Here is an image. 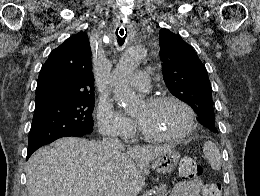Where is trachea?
I'll list each match as a JSON object with an SVG mask.
<instances>
[{
  "instance_id": "trachea-1",
  "label": "trachea",
  "mask_w": 260,
  "mask_h": 196,
  "mask_svg": "<svg viewBox=\"0 0 260 196\" xmlns=\"http://www.w3.org/2000/svg\"><path fill=\"white\" fill-rule=\"evenodd\" d=\"M117 33V32H116ZM124 33H120V35H123ZM125 37H126V35H125ZM124 37V38H125ZM123 43H124V39L123 40H118V44L120 45V46H122L123 45Z\"/></svg>"
}]
</instances>
